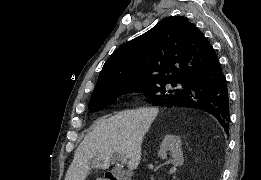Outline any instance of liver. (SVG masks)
I'll return each mask as SVG.
<instances>
[{
  "mask_svg": "<svg viewBox=\"0 0 261 180\" xmlns=\"http://www.w3.org/2000/svg\"><path fill=\"white\" fill-rule=\"evenodd\" d=\"M156 108L123 110L115 116L96 120L92 132L78 146L68 170L67 180H85L92 168L109 170L116 152L128 158L129 170H136L141 160V144L153 120Z\"/></svg>",
  "mask_w": 261,
  "mask_h": 180,
  "instance_id": "obj_1",
  "label": "liver"
}]
</instances>
